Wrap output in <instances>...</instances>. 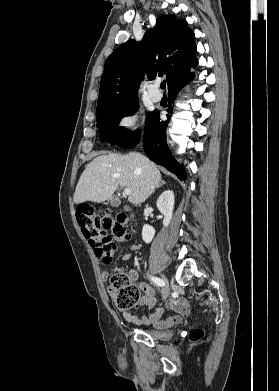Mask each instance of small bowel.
Wrapping results in <instances>:
<instances>
[{
    "instance_id": "obj_1",
    "label": "small bowel",
    "mask_w": 279,
    "mask_h": 391,
    "mask_svg": "<svg viewBox=\"0 0 279 391\" xmlns=\"http://www.w3.org/2000/svg\"><path fill=\"white\" fill-rule=\"evenodd\" d=\"M139 249L138 244H132L127 247L124 252L122 259L124 261L129 260L132 255ZM108 277L107 272L102 273V279L106 280ZM130 277L132 279H136L137 274L135 271L130 272ZM139 288L143 292V296L139 300L140 307H147L148 310H151L155 307L157 300L155 297L154 289L146 284L139 283ZM109 293L111 296L115 295V292L112 288L109 289ZM165 308L173 311V314L166 319H162V315L164 312V307L159 306L155 309L154 312L148 313L147 315H137L131 313L129 311H125L121 309L122 317L130 323L136 325H151L156 329H167L172 327L173 325L179 323L183 317L189 316L191 311L188 302L185 299L172 297L165 302Z\"/></svg>"
}]
</instances>
